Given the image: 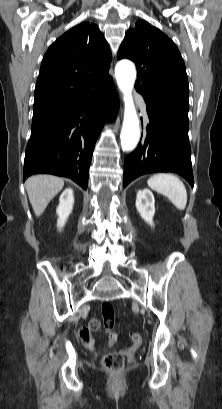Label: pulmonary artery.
<instances>
[{
    "mask_svg": "<svg viewBox=\"0 0 222 409\" xmlns=\"http://www.w3.org/2000/svg\"><path fill=\"white\" fill-rule=\"evenodd\" d=\"M137 101H138L140 107H141L142 110H143V115H144V117L147 118V114H146V104H145L144 99H143L141 96H137Z\"/></svg>",
    "mask_w": 222,
    "mask_h": 409,
    "instance_id": "pulmonary-artery-1",
    "label": "pulmonary artery"
}]
</instances>
